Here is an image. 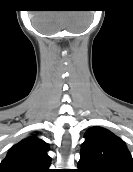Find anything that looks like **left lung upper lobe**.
<instances>
[{
	"label": "left lung upper lobe",
	"instance_id": "1",
	"mask_svg": "<svg viewBox=\"0 0 133 172\" xmlns=\"http://www.w3.org/2000/svg\"><path fill=\"white\" fill-rule=\"evenodd\" d=\"M78 172H133V159L124 141L102 127L85 134Z\"/></svg>",
	"mask_w": 133,
	"mask_h": 172
}]
</instances>
